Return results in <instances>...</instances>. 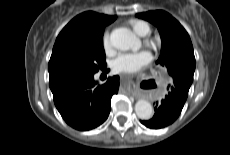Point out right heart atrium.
<instances>
[{"label": "right heart atrium", "mask_w": 230, "mask_h": 155, "mask_svg": "<svg viewBox=\"0 0 230 155\" xmlns=\"http://www.w3.org/2000/svg\"><path fill=\"white\" fill-rule=\"evenodd\" d=\"M103 46L105 50H108L111 47L110 33L108 31L105 32L103 36Z\"/></svg>", "instance_id": "right-heart-atrium-1"}]
</instances>
